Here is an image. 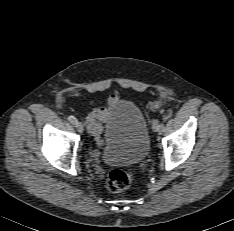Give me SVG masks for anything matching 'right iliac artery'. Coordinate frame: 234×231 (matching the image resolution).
<instances>
[{"instance_id": "right-iliac-artery-1", "label": "right iliac artery", "mask_w": 234, "mask_h": 231, "mask_svg": "<svg viewBox=\"0 0 234 231\" xmlns=\"http://www.w3.org/2000/svg\"><path fill=\"white\" fill-rule=\"evenodd\" d=\"M68 120L70 121V123H72L73 125H76L77 124V119L73 116V115H70L68 116Z\"/></svg>"}]
</instances>
